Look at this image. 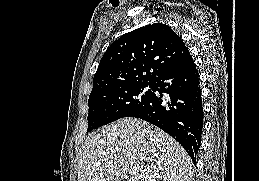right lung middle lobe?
Instances as JSON below:
<instances>
[{
  "label": "right lung middle lobe",
  "instance_id": "obj_1",
  "mask_svg": "<svg viewBox=\"0 0 259 181\" xmlns=\"http://www.w3.org/2000/svg\"><path fill=\"white\" fill-rule=\"evenodd\" d=\"M146 87L150 89L146 91ZM153 84L106 90L89 97L88 129L92 131L141 109L152 96Z\"/></svg>",
  "mask_w": 259,
  "mask_h": 181
}]
</instances>
